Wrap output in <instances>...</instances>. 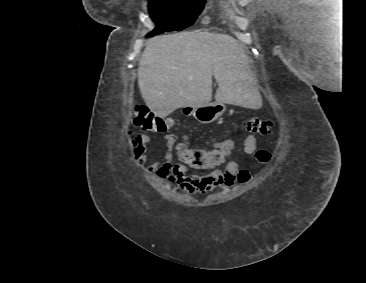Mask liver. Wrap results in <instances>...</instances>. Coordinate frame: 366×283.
I'll use <instances>...</instances> for the list:
<instances>
[{
    "mask_svg": "<svg viewBox=\"0 0 366 283\" xmlns=\"http://www.w3.org/2000/svg\"><path fill=\"white\" fill-rule=\"evenodd\" d=\"M246 48L232 36L193 31L151 39L139 61L138 85L150 110L162 118L212 99L249 109L262 107Z\"/></svg>",
    "mask_w": 366,
    "mask_h": 283,
    "instance_id": "obj_1",
    "label": "liver"
}]
</instances>
